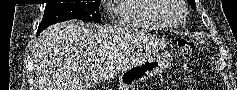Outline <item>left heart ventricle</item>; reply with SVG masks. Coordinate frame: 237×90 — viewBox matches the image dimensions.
<instances>
[{
    "label": "left heart ventricle",
    "instance_id": "left-heart-ventricle-1",
    "mask_svg": "<svg viewBox=\"0 0 237 90\" xmlns=\"http://www.w3.org/2000/svg\"><path fill=\"white\" fill-rule=\"evenodd\" d=\"M180 17H181V13H178V15H177V16H173L172 19H164V20H165L166 23L169 24V25H175L176 23L179 22Z\"/></svg>",
    "mask_w": 237,
    "mask_h": 90
}]
</instances>
